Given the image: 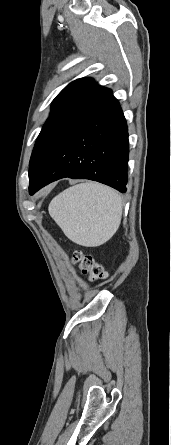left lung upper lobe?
<instances>
[{
	"label": "left lung upper lobe",
	"instance_id": "obj_1",
	"mask_svg": "<svg viewBox=\"0 0 171 445\" xmlns=\"http://www.w3.org/2000/svg\"><path fill=\"white\" fill-rule=\"evenodd\" d=\"M111 94L110 89L95 84L92 78H81L68 84L56 96L52 102L50 117L43 126L31 155L29 180L35 177L68 130Z\"/></svg>",
	"mask_w": 171,
	"mask_h": 445
}]
</instances>
